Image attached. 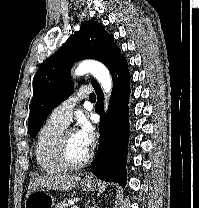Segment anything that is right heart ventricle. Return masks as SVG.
Listing matches in <instances>:
<instances>
[{"label": "right heart ventricle", "mask_w": 199, "mask_h": 208, "mask_svg": "<svg viewBox=\"0 0 199 208\" xmlns=\"http://www.w3.org/2000/svg\"><path fill=\"white\" fill-rule=\"evenodd\" d=\"M65 127L62 123L50 118L38 133L34 155L37 165L46 174H56L63 171V168L54 159V145Z\"/></svg>", "instance_id": "1"}]
</instances>
